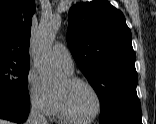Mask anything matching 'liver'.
Segmentation results:
<instances>
[{
	"mask_svg": "<svg viewBox=\"0 0 156 124\" xmlns=\"http://www.w3.org/2000/svg\"><path fill=\"white\" fill-rule=\"evenodd\" d=\"M0 124H11V123H10V122H8V121L1 120V119H0Z\"/></svg>",
	"mask_w": 156,
	"mask_h": 124,
	"instance_id": "obj_1",
	"label": "liver"
}]
</instances>
